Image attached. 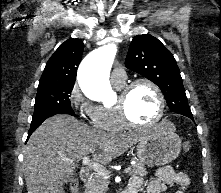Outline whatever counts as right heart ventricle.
<instances>
[{
    "instance_id": "right-heart-ventricle-1",
    "label": "right heart ventricle",
    "mask_w": 221,
    "mask_h": 193,
    "mask_svg": "<svg viewBox=\"0 0 221 193\" xmlns=\"http://www.w3.org/2000/svg\"><path fill=\"white\" fill-rule=\"evenodd\" d=\"M120 90L123 86L114 84ZM92 122L97 128L107 131H122L126 126L122 123L115 105H101L96 107L95 117Z\"/></svg>"
}]
</instances>
